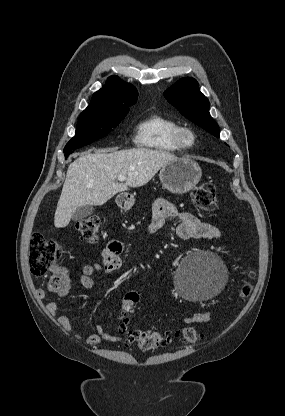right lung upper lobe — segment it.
Segmentation results:
<instances>
[{"mask_svg": "<svg viewBox=\"0 0 285 416\" xmlns=\"http://www.w3.org/2000/svg\"><path fill=\"white\" fill-rule=\"evenodd\" d=\"M135 87L122 81L118 76L108 78L106 85L92 96L88 109H114L129 107L137 101Z\"/></svg>", "mask_w": 285, "mask_h": 416, "instance_id": "1", "label": "right lung upper lobe"}]
</instances>
